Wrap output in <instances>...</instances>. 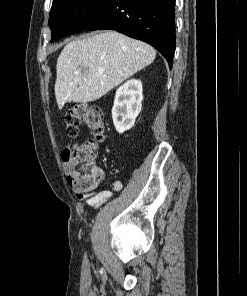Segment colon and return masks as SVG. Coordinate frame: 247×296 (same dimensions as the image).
Instances as JSON below:
<instances>
[{"mask_svg":"<svg viewBox=\"0 0 247 296\" xmlns=\"http://www.w3.org/2000/svg\"><path fill=\"white\" fill-rule=\"evenodd\" d=\"M65 124L70 137L77 136L81 125L88 127L93 134V139L81 144H71L62 152L70 186L78 192L90 191L96 188L103 178V172L95 164V159L98 143L104 139V115L96 106L77 103L67 110Z\"/></svg>","mask_w":247,"mask_h":296,"instance_id":"colon-1","label":"colon"}]
</instances>
